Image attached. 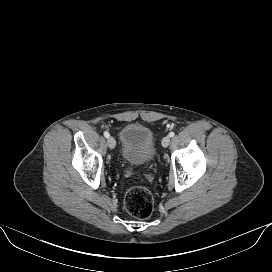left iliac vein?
I'll use <instances>...</instances> for the list:
<instances>
[{
  "label": "left iliac vein",
  "mask_w": 272,
  "mask_h": 272,
  "mask_svg": "<svg viewBox=\"0 0 272 272\" xmlns=\"http://www.w3.org/2000/svg\"><path fill=\"white\" fill-rule=\"evenodd\" d=\"M170 143V137L169 136H166L162 139V146L163 147H167Z\"/></svg>",
  "instance_id": "obj_1"
}]
</instances>
